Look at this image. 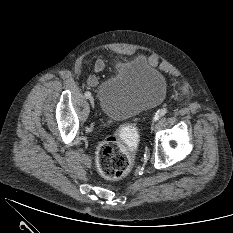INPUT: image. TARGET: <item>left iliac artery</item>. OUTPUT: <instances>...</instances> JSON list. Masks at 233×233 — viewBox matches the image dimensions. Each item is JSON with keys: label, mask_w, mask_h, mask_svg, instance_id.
<instances>
[{"label": "left iliac artery", "mask_w": 233, "mask_h": 233, "mask_svg": "<svg viewBox=\"0 0 233 233\" xmlns=\"http://www.w3.org/2000/svg\"><path fill=\"white\" fill-rule=\"evenodd\" d=\"M167 113V109L163 108V109H159L155 116H154V121H157L160 117L164 116Z\"/></svg>", "instance_id": "left-iliac-artery-1"}]
</instances>
